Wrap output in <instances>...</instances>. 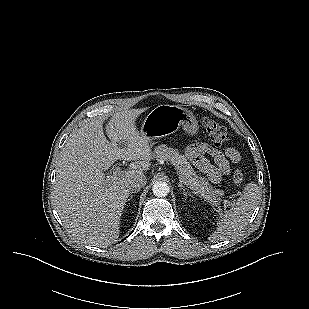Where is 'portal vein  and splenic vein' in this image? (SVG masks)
Here are the masks:
<instances>
[{
  "label": "portal vein and splenic vein",
  "instance_id": "obj_1",
  "mask_svg": "<svg viewBox=\"0 0 309 309\" xmlns=\"http://www.w3.org/2000/svg\"><path fill=\"white\" fill-rule=\"evenodd\" d=\"M122 172L123 171L121 170V168L119 166H116V167L113 168V175H121ZM177 175L179 176L178 178L180 179L181 183L182 182L186 183L185 180L183 179V177L180 175V173L179 174L177 173Z\"/></svg>",
  "mask_w": 309,
  "mask_h": 309
}]
</instances>
